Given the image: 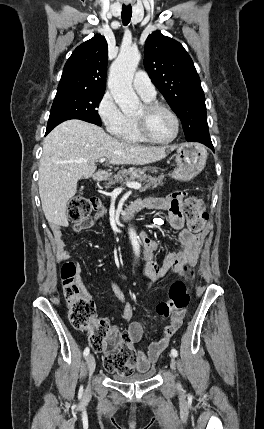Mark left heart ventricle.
Returning <instances> with one entry per match:
<instances>
[{
	"label": "left heart ventricle",
	"mask_w": 264,
	"mask_h": 429,
	"mask_svg": "<svg viewBox=\"0 0 264 429\" xmlns=\"http://www.w3.org/2000/svg\"><path fill=\"white\" fill-rule=\"evenodd\" d=\"M144 113L143 107L135 114L140 117ZM147 125L150 135L157 140H167L171 138L175 131V123L172 117L165 111H155L147 118Z\"/></svg>",
	"instance_id": "1"
}]
</instances>
